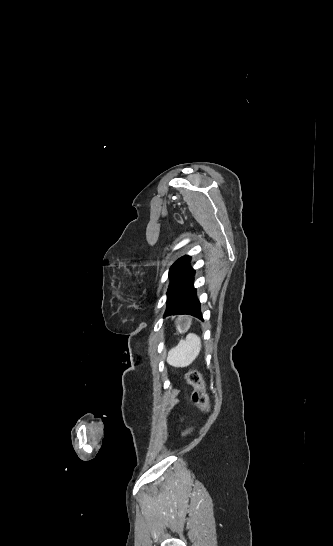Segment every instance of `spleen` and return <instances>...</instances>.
<instances>
[{"instance_id": "3e777b00", "label": "spleen", "mask_w": 333, "mask_h": 546, "mask_svg": "<svg viewBox=\"0 0 333 546\" xmlns=\"http://www.w3.org/2000/svg\"><path fill=\"white\" fill-rule=\"evenodd\" d=\"M186 324L179 328L180 332H184L191 325V319L186 318ZM201 351V339L196 334H189L185 340H181L179 344L170 350L167 362L174 367H186L198 357Z\"/></svg>"}]
</instances>
